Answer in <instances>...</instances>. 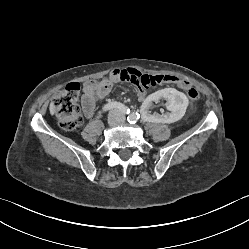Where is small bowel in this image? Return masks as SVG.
Masks as SVG:
<instances>
[{
    "label": "small bowel",
    "mask_w": 249,
    "mask_h": 249,
    "mask_svg": "<svg viewBox=\"0 0 249 249\" xmlns=\"http://www.w3.org/2000/svg\"><path fill=\"white\" fill-rule=\"evenodd\" d=\"M142 75L141 70L128 68L127 70H113L107 77L101 80L86 81L83 85L84 93L81 98L84 115L87 118H91L95 113L96 105L110 93L116 83L122 81L130 83L132 87H137L138 98L144 102L147 95L143 85L140 84L142 82Z\"/></svg>",
    "instance_id": "1"
}]
</instances>
